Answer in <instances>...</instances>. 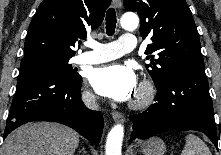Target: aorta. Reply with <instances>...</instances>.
I'll use <instances>...</instances> for the list:
<instances>
[{
  "label": "aorta",
  "instance_id": "1",
  "mask_svg": "<svg viewBox=\"0 0 221 155\" xmlns=\"http://www.w3.org/2000/svg\"><path fill=\"white\" fill-rule=\"evenodd\" d=\"M139 19L134 14H125L121 18V26L125 30L131 31L137 28ZM124 136V127L121 124L115 125L107 136L106 155H121V147Z\"/></svg>",
  "mask_w": 221,
  "mask_h": 155
}]
</instances>
